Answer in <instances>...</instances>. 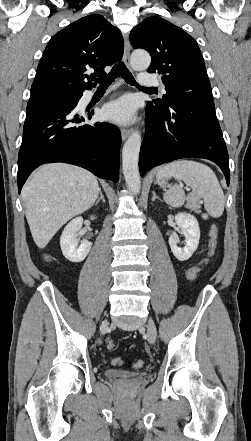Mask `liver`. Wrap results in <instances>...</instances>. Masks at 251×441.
<instances>
[{
	"instance_id": "obj_1",
	"label": "liver",
	"mask_w": 251,
	"mask_h": 441,
	"mask_svg": "<svg viewBox=\"0 0 251 441\" xmlns=\"http://www.w3.org/2000/svg\"><path fill=\"white\" fill-rule=\"evenodd\" d=\"M99 190L97 178L83 168L64 163L39 167L22 189L36 245L43 249L68 220L90 209Z\"/></svg>"
}]
</instances>
